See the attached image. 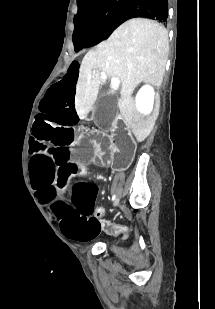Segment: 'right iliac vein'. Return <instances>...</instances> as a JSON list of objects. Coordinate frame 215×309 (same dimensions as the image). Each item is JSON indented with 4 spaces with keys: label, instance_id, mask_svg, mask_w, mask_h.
Returning a JSON list of instances; mask_svg holds the SVG:
<instances>
[{
    "label": "right iliac vein",
    "instance_id": "obj_1",
    "mask_svg": "<svg viewBox=\"0 0 215 309\" xmlns=\"http://www.w3.org/2000/svg\"><path fill=\"white\" fill-rule=\"evenodd\" d=\"M119 199H120V198H116V202L114 203V206H116V205L118 204Z\"/></svg>",
    "mask_w": 215,
    "mask_h": 309
}]
</instances>
